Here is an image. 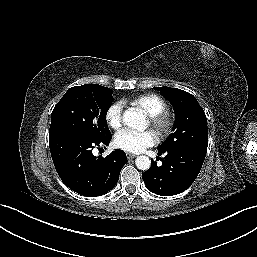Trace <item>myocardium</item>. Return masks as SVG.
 <instances>
[{
	"mask_svg": "<svg viewBox=\"0 0 257 257\" xmlns=\"http://www.w3.org/2000/svg\"><path fill=\"white\" fill-rule=\"evenodd\" d=\"M149 121L151 126L161 135L169 133L174 122L172 114L167 109L153 116H149Z\"/></svg>",
	"mask_w": 257,
	"mask_h": 257,
	"instance_id": "f54148a6",
	"label": "myocardium"
}]
</instances>
